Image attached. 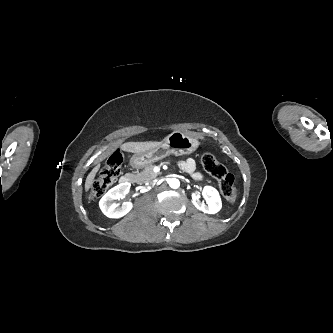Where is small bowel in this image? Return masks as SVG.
<instances>
[{"instance_id":"obj_1","label":"small bowel","mask_w":333,"mask_h":333,"mask_svg":"<svg viewBox=\"0 0 333 333\" xmlns=\"http://www.w3.org/2000/svg\"><path fill=\"white\" fill-rule=\"evenodd\" d=\"M179 166L186 172L193 173L195 171V162L193 159L188 158L179 163ZM194 177L196 179H202V175L200 173H194Z\"/></svg>"}]
</instances>
